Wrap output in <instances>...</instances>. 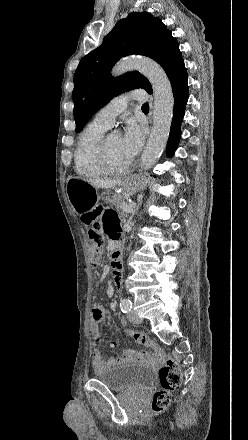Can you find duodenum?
I'll return each instance as SVG.
<instances>
[{
	"instance_id": "410a0bca",
	"label": "duodenum",
	"mask_w": 248,
	"mask_h": 440,
	"mask_svg": "<svg viewBox=\"0 0 248 440\" xmlns=\"http://www.w3.org/2000/svg\"><path fill=\"white\" fill-rule=\"evenodd\" d=\"M114 246L112 251V266L114 268L119 267V260L123 253V244L120 237L113 238Z\"/></svg>"
}]
</instances>
